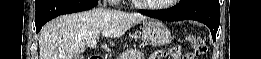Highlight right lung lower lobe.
I'll return each instance as SVG.
<instances>
[{"label": "right lung lower lobe", "instance_id": "98d812e1", "mask_svg": "<svg viewBox=\"0 0 261 59\" xmlns=\"http://www.w3.org/2000/svg\"><path fill=\"white\" fill-rule=\"evenodd\" d=\"M98 4V0H41L35 4L36 33L49 20L63 14L89 10Z\"/></svg>", "mask_w": 261, "mask_h": 59}]
</instances>
